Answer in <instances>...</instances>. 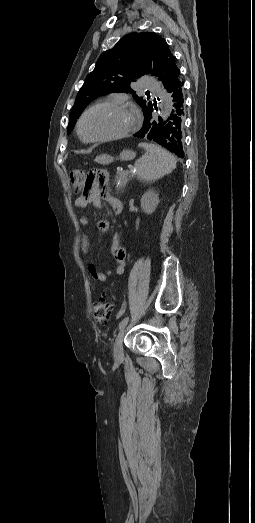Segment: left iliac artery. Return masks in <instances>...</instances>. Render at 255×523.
<instances>
[{"label":"left iliac artery","mask_w":255,"mask_h":523,"mask_svg":"<svg viewBox=\"0 0 255 523\" xmlns=\"http://www.w3.org/2000/svg\"><path fill=\"white\" fill-rule=\"evenodd\" d=\"M128 320H129V317H125L120 323H119V329H122L123 327L126 326V324L128 323Z\"/></svg>","instance_id":"obj_1"}]
</instances>
